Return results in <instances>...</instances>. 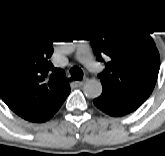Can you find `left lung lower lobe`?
Returning a JSON list of instances; mask_svg holds the SVG:
<instances>
[{
    "label": "left lung lower lobe",
    "instance_id": "left-lung-lower-lobe-1",
    "mask_svg": "<svg viewBox=\"0 0 165 156\" xmlns=\"http://www.w3.org/2000/svg\"><path fill=\"white\" fill-rule=\"evenodd\" d=\"M93 102L97 108L113 117L125 116L137 109V107L115 97L113 93L105 88H103L102 94Z\"/></svg>",
    "mask_w": 165,
    "mask_h": 156
}]
</instances>
